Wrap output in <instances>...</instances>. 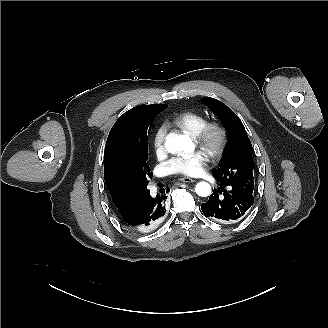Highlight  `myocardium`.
<instances>
[{
    "label": "myocardium",
    "instance_id": "myocardium-1",
    "mask_svg": "<svg viewBox=\"0 0 328 328\" xmlns=\"http://www.w3.org/2000/svg\"><path fill=\"white\" fill-rule=\"evenodd\" d=\"M214 136L217 140L214 142ZM195 146L203 150L213 159H219L225 152L229 142V130L220 120L206 121L199 132L191 136Z\"/></svg>",
    "mask_w": 328,
    "mask_h": 328
}]
</instances>
